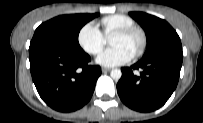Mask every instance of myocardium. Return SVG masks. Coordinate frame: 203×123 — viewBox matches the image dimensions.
I'll return each instance as SVG.
<instances>
[{
    "label": "myocardium",
    "mask_w": 203,
    "mask_h": 123,
    "mask_svg": "<svg viewBox=\"0 0 203 123\" xmlns=\"http://www.w3.org/2000/svg\"><path fill=\"white\" fill-rule=\"evenodd\" d=\"M134 33L138 34L141 38L140 47L137 49V51L132 56L133 58H137L144 53L146 46H147V36H146L144 30H142L139 27L133 26V27L118 29L115 32H113L112 35L128 36V35H131Z\"/></svg>",
    "instance_id": "obj_1"
}]
</instances>
